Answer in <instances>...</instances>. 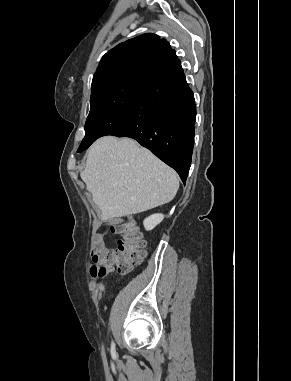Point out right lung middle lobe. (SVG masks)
Listing matches in <instances>:
<instances>
[{"instance_id":"1","label":"right lung middle lobe","mask_w":291,"mask_h":381,"mask_svg":"<svg viewBox=\"0 0 291 381\" xmlns=\"http://www.w3.org/2000/svg\"><path fill=\"white\" fill-rule=\"evenodd\" d=\"M142 80L143 78L127 79L92 93L85 137L78 152L88 148L99 137L114 135L121 130Z\"/></svg>"}]
</instances>
